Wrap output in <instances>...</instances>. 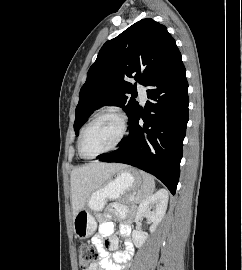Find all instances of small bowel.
Masks as SVG:
<instances>
[{
  "instance_id": "1",
  "label": "small bowel",
  "mask_w": 242,
  "mask_h": 270,
  "mask_svg": "<svg viewBox=\"0 0 242 270\" xmlns=\"http://www.w3.org/2000/svg\"><path fill=\"white\" fill-rule=\"evenodd\" d=\"M112 215L124 220L120 224V235L125 239V250L118 251V238L114 235V223ZM133 214L122 205H114L111 214L99 219V232L92 237L91 242L98 253V261L91 264L85 270H122L127 268V261L132 253V243L129 240ZM106 241H103V238ZM110 251L113 254L110 256Z\"/></svg>"
}]
</instances>
